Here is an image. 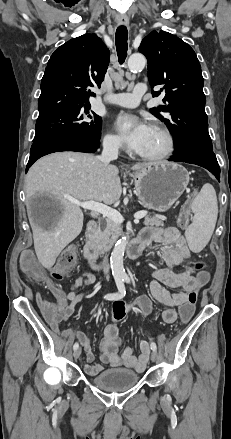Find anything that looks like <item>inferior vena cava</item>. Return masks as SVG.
<instances>
[{
	"instance_id": "1",
	"label": "inferior vena cava",
	"mask_w": 231,
	"mask_h": 439,
	"mask_svg": "<svg viewBox=\"0 0 231 439\" xmlns=\"http://www.w3.org/2000/svg\"><path fill=\"white\" fill-rule=\"evenodd\" d=\"M118 149H119V143L114 140H105L103 142V151L101 156L99 157V160L101 163H103L105 166L110 163L112 160H116L118 158ZM104 274L106 275V278H109V264L107 258L104 259V266H103Z\"/></svg>"
}]
</instances>
